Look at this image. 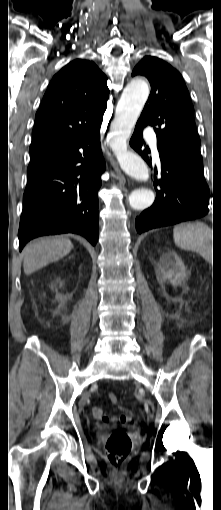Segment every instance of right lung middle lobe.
I'll use <instances>...</instances> for the list:
<instances>
[{"label": "right lung middle lobe", "instance_id": "dd1d6c3e", "mask_svg": "<svg viewBox=\"0 0 221 510\" xmlns=\"http://www.w3.org/2000/svg\"><path fill=\"white\" fill-rule=\"evenodd\" d=\"M41 153H42V152L31 153V157H35V156H37V155H39V154H41Z\"/></svg>", "mask_w": 221, "mask_h": 510}]
</instances>
